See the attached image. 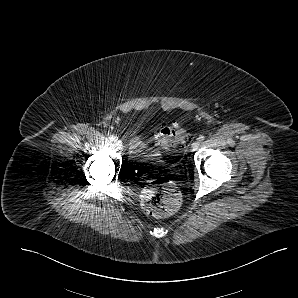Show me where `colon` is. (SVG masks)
I'll return each instance as SVG.
<instances>
[{
  "label": "colon",
  "instance_id": "obj_1",
  "mask_svg": "<svg viewBox=\"0 0 298 298\" xmlns=\"http://www.w3.org/2000/svg\"><path fill=\"white\" fill-rule=\"evenodd\" d=\"M184 138L185 131L179 124L163 127L155 136L157 145L164 149L183 142ZM141 204L147 214L165 217L179 209L181 194L172 181L156 179L142 191Z\"/></svg>",
  "mask_w": 298,
  "mask_h": 298
}]
</instances>
